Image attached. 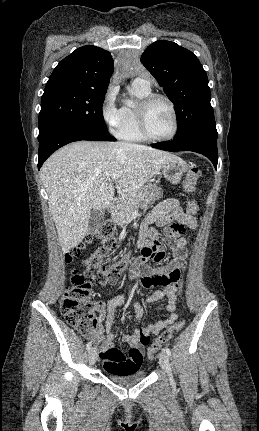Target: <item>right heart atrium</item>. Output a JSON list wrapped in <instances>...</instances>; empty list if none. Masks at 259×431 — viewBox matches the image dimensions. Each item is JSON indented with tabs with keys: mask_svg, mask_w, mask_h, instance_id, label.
I'll return each instance as SVG.
<instances>
[{
	"mask_svg": "<svg viewBox=\"0 0 259 431\" xmlns=\"http://www.w3.org/2000/svg\"><path fill=\"white\" fill-rule=\"evenodd\" d=\"M118 89L114 85H110L104 95L101 104V116L106 126L116 133L122 122V108L117 104Z\"/></svg>",
	"mask_w": 259,
	"mask_h": 431,
	"instance_id": "obj_1",
	"label": "right heart atrium"
}]
</instances>
